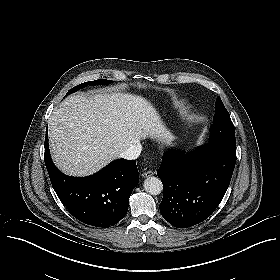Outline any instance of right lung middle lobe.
Instances as JSON below:
<instances>
[{
  "label": "right lung middle lobe",
  "mask_w": 280,
  "mask_h": 280,
  "mask_svg": "<svg viewBox=\"0 0 280 280\" xmlns=\"http://www.w3.org/2000/svg\"><path fill=\"white\" fill-rule=\"evenodd\" d=\"M112 81L110 80H106V79H100V80H95V81H90V82H85V83H82L80 85H77L76 87L72 88L71 90L68 91V93L66 94V96L69 94V93H73V92H76L78 91L79 89L83 88V87H86L88 85H108L109 83H111Z\"/></svg>",
  "instance_id": "obj_1"
}]
</instances>
